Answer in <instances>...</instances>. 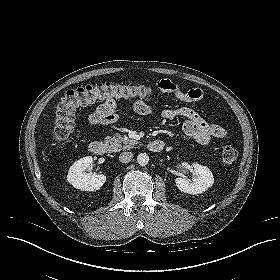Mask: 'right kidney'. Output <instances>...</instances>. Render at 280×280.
<instances>
[{"mask_svg":"<svg viewBox=\"0 0 280 280\" xmlns=\"http://www.w3.org/2000/svg\"><path fill=\"white\" fill-rule=\"evenodd\" d=\"M93 163L91 156L83 157L70 167L67 174V181L76 189L83 191L99 190L106 182L103 174L85 173V169Z\"/></svg>","mask_w":280,"mask_h":280,"instance_id":"ca27d5eb","label":"right kidney"}]
</instances>
